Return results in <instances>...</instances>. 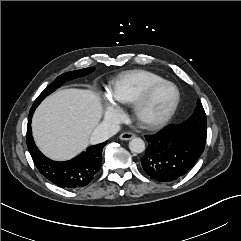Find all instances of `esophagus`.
Listing matches in <instances>:
<instances>
[{
    "label": "esophagus",
    "mask_w": 241,
    "mask_h": 241,
    "mask_svg": "<svg viewBox=\"0 0 241 241\" xmlns=\"http://www.w3.org/2000/svg\"><path fill=\"white\" fill-rule=\"evenodd\" d=\"M134 136L135 135L131 132H124V133L120 134L119 138L121 140H130V139L134 138Z\"/></svg>",
    "instance_id": "obj_1"
}]
</instances>
